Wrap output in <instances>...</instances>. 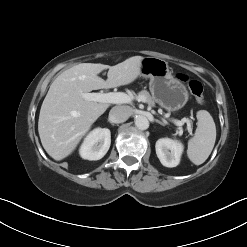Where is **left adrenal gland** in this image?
<instances>
[{
  "instance_id": "1",
  "label": "left adrenal gland",
  "mask_w": 247,
  "mask_h": 247,
  "mask_svg": "<svg viewBox=\"0 0 247 247\" xmlns=\"http://www.w3.org/2000/svg\"><path fill=\"white\" fill-rule=\"evenodd\" d=\"M155 122L160 124V125H162V126H165V124L163 122H161L160 120H158V119H156Z\"/></svg>"
}]
</instances>
